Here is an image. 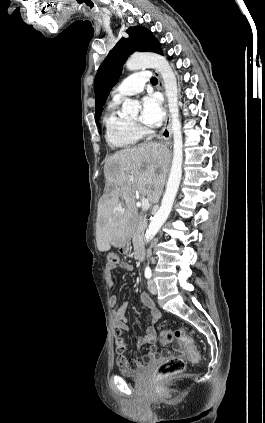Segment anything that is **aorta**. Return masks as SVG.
I'll list each match as a JSON object with an SVG mask.
<instances>
[{
	"instance_id": "762f6f07",
	"label": "aorta",
	"mask_w": 265,
	"mask_h": 423,
	"mask_svg": "<svg viewBox=\"0 0 265 423\" xmlns=\"http://www.w3.org/2000/svg\"><path fill=\"white\" fill-rule=\"evenodd\" d=\"M126 68L130 71L139 70L141 68H154L161 74L164 82L165 94L167 96L173 132V159L166 191L161 206L155 213L145 233V241L150 242L171 212L182 177L183 137L179 118L177 79L166 58L156 53L134 54L126 62ZM138 108L139 102L129 98L125 99L122 104V112L124 114H132L136 112Z\"/></svg>"
}]
</instances>
